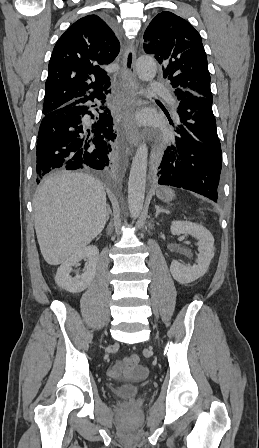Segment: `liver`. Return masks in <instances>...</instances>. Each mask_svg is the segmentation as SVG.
<instances>
[{
  "label": "liver",
  "instance_id": "obj_1",
  "mask_svg": "<svg viewBox=\"0 0 259 448\" xmlns=\"http://www.w3.org/2000/svg\"><path fill=\"white\" fill-rule=\"evenodd\" d=\"M33 206L38 244L50 266L63 264L97 238L108 216L104 186L83 172L42 180Z\"/></svg>",
  "mask_w": 259,
  "mask_h": 448
}]
</instances>
